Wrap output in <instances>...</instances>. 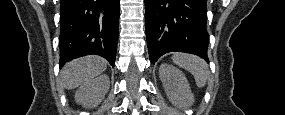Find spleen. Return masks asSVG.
I'll return each instance as SVG.
<instances>
[{"mask_svg": "<svg viewBox=\"0 0 285 115\" xmlns=\"http://www.w3.org/2000/svg\"><path fill=\"white\" fill-rule=\"evenodd\" d=\"M172 60L194 76L196 85L199 88L206 85L209 77V68L202 58L191 54L176 53L172 56Z\"/></svg>", "mask_w": 285, "mask_h": 115, "instance_id": "3e777b00", "label": "spleen"}]
</instances>
